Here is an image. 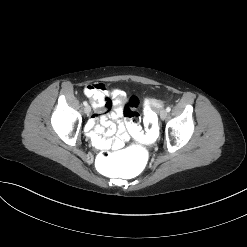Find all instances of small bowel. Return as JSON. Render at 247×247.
Listing matches in <instances>:
<instances>
[{"label":"small bowel","mask_w":247,"mask_h":247,"mask_svg":"<svg viewBox=\"0 0 247 247\" xmlns=\"http://www.w3.org/2000/svg\"><path fill=\"white\" fill-rule=\"evenodd\" d=\"M84 94L95 109L85 130L92 144L103 150H118L123 147L128 125L119 122L123 116L125 94L119 89L109 90L102 83H94L84 88Z\"/></svg>","instance_id":"c3829d8e"}]
</instances>
